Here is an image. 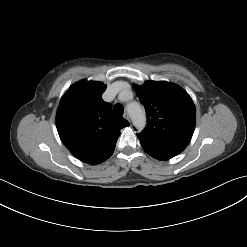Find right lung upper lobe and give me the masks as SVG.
I'll return each mask as SVG.
<instances>
[{
  "label": "right lung upper lobe",
  "mask_w": 247,
  "mask_h": 247,
  "mask_svg": "<svg viewBox=\"0 0 247 247\" xmlns=\"http://www.w3.org/2000/svg\"><path fill=\"white\" fill-rule=\"evenodd\" d=\"M106 88L101 82H78L64 94L56 114L63 144L77 159L91 165L112 155L120 130L129 126L102 100Z\"/></svg>",
  "instance_id": "right-lung-upper-lobe-1"
}]
</instances>
